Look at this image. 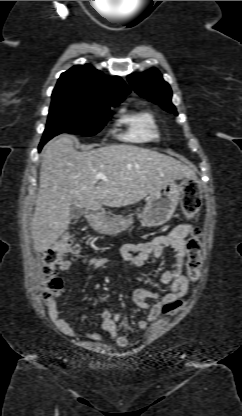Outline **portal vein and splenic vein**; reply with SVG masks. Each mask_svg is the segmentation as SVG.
<instances>
[{
    "instance_id": "portal-vein-and-splenic-vein-1",
    "label": "portal vein and splenic vein",
    "mask_w": 242,
    "mask_h": 416,
    "mask_svg": "<svg viewBox=\"0 0 242 416\" xmlns=\"http://www.w3.org/2000/svg\"><path fill=\"white\" fill-rule=\"evenodd\" d=\"M95 178H96L97 180H100V179H102V180H107L106 176H105L103 173H98V174H96Z\"/></svg>"
}]
</instances>
